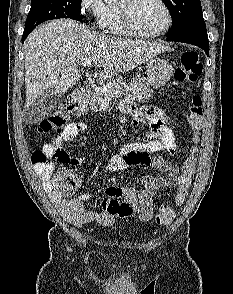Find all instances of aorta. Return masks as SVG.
Returning <instances> with one entry per match:
<instances>
[{
  "label": "aorta",
  "instance_id": "762f6f07",
  "mask_svg": "<svg viewBox=\"0 0 233 294\" xmlns=\"http://www.w3.org/2000/svg\"><path fill=\"white\" fill-rule=\"evenodd\" d=\"M107 4H115L118 0H104Z\"/></svg>",
  "mask_w": 233,
  "mask_h": 294
}]
</instances>
